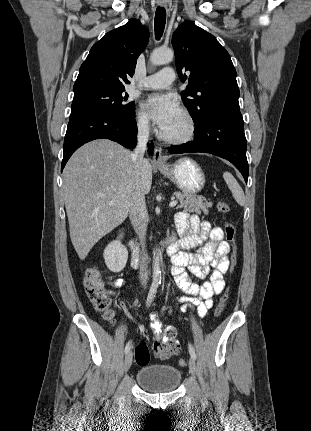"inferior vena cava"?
I'll list each match as a JSON object with an SVG mask.
<instances>
[{
	"mask_svg": "<svg viewBox=\"0 0 311 431\" xmlns=\"http://www.w3.org/2000/svg\"><path fill=\"white\" fill-rule=\"evenodd\" d=\"M137 146L132 154V158L136 164V182L135 190L132 196V204L129 210V217L132 221V225L140 239L142 247V261L140 265L139 277L141 279L142 285H146L148 271L146 263V245H145V235L148 225V214L145 202V194H143V186L141 180V168L144 160V154L147 150V142L149 138V126L147 120H142L138 124L137 132Z\"/></svg>",
	"mask_w": 311,
	"mask_h": 431,
	"instance_id": "602c4592",
	"label": "inferior vena cava"
}]
</instances>
